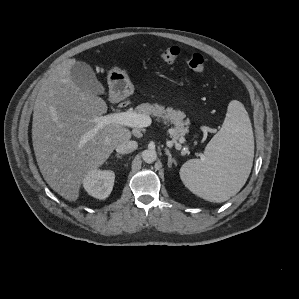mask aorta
<instances>
[{
	"mask_svg": "<svg viewBox=\"0 0 299 299\" xmlns=\"http://www.w3.org/2000/svg\"><path fill=\"white\" fill-rule=\"evenodd\" d=\"M142 159L146 163H153L157 159V153L154 149H147L142 152Z\"/></svg>",
	"mask_w": 299,
	"mask_h": 299,
	"instance_id": "1",
	"label": "aorta"
}]
</instances>
